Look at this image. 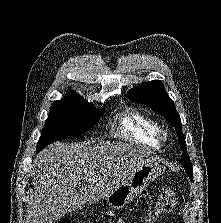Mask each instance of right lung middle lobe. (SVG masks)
I'll list each match as a JSON object with an SVG mask.
<instances>
[{
	"label": "right lung middle lobe",
	"instance_id": "1",
	"mask_svg": "<svg viewBox=\"0 0 221 223\" xmlns=\"http://www.w3.org/2000/svg\"><path fill=\"white\" fill-rule=\"evenodd\" d=\"M104 113L92 103H55L45 121L37 144V153L57 140L77 137L91 129Z\"/></svg>",
	"mask_w": 221,
	"mask_h": 223
}]
</instances>
